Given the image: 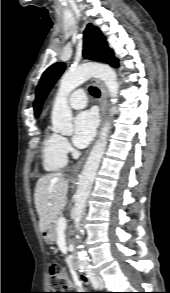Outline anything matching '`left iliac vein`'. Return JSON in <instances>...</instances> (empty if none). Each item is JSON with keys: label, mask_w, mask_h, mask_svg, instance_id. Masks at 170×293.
I'll return each mask as SVG.
<instances>
[{"label": "left iliac vein", "mask_w": 170, "mask_h": 293, "mask_svg": "<svg viewBox=\"0 0 170 293\" xmlns=\"http://www.w3.org/2000/svg\"><path fill=\"white\" fill-rule=\"evenodd\" d=\"M96 279H97V283H98V288L103 289L105 284H104V280H103L102 276L97 274Z\"/></svg>", "instance_id": "left-iliac-vein-1"}]
</instances>
